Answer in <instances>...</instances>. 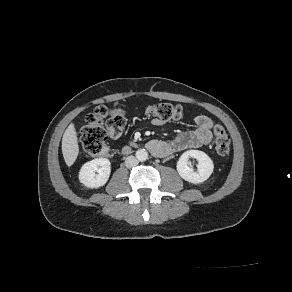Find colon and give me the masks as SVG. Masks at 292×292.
Listing matches in <instances>:
<instances>
[{"label": "colon", "instance_id": "colon-1", "mask_svg": "<svg viewBox=\"0 0 292 292\" xmlns=\"http://www.w3.org/2000/svg\"><path fill=\"white\" fill-rule=\"evenodd\" d=\"M149 116L162 121L180 120L184 117L181 106L170 103L149 105L146 109ZM86 124L81 130V143L89 155L97 156L106 152L108 138H118L125 125L126 116L121 108L110 109L98 106L85 119ZM215 149L219 156L225 157L230 152V137L221 125L213 127Z\"/></svg>", "mask_w": 292, "mask_h": 292}]
</instances>
